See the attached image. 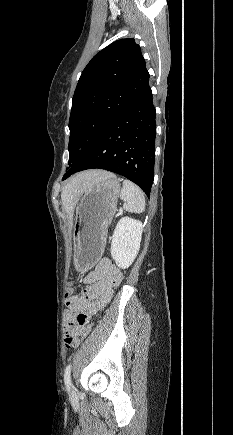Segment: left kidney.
I'll return each mask as SVG.
<instances>
[{
  "label": "left kidney",
  "mask_w": 233,
  "mask_h": 435,
  "mask_svg": "<svg viewBox=\"0 0 233 435\" xmlns=\"http://www.w3.org/2000/svg\"><path fill=\"white\" fill-rule=\"evenodd\" d=\"M142 238V222L123 217L117 223L111 242V256L119 268L126 269L135 260Z\"/></svg>",
  "instance_id": "5707ae66"
}]
</instances>
